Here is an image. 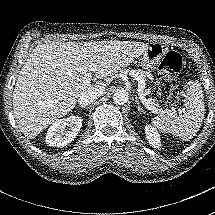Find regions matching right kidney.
<instances>
[{
	"instance_id": "ca27d5eb",
	"label": "right kidney",
	"mask_w": 215,
	"mask_h": 215,
	"mask_svg": "<svg viewBox=\"0 0 215 215\" xmlns=\"http://www.w3.org/2000/svg\"><path fill=\"white\" fill-rule=\"evenodd\" d=\"M82 121L83 119L79 116L58 119L46 133V144L52 147H64L71 143L81 129Z\"/></svg>"
}]
</instances>
